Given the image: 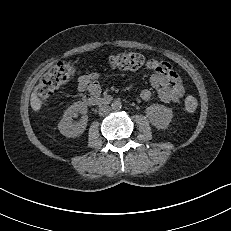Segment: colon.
Instances as JSON below:
<instances>
[{
	"label": "colon",
	"mask_w": 231,
	"mask_h": 231,
	"mask_svg": "<svg viewBox=\"0 0 231 231\" xmlns=\"http://www.w3.org/2000/svg\"><path fill=\"white\" fill-rule=\"evenodd\" d=\"M108 65L113 69L135 71L139 69L144 58L141 54L135 52H123L109 56ZM78 65L71 62H59L52 66L41 78L36 92L39 98L45 102L51 98L56 90L77 73ZM198 107L197 99L188 96L184 100V108L187 112H194Z\"/></svg>",
	"instance_id": "1"
}]
</instances>
